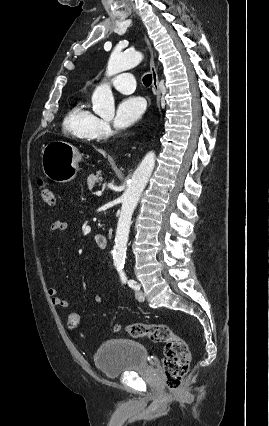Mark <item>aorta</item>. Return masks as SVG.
I'll return each instance as SVG.
<instances>
[{
	"mask_svg": "<svg viewBox=\"0 0 269 426\" xmlns=\"http://www.w3.org/2000/svg\"><path fill=\"white\" fill-rule=\"evenodd\" d=\"M143 59L139 51L125 53L115 50L109 59L106 75L108 77L128 70L138 65ZM93 111L102 118H113L115 103L111 88L108 84L98 86L92 95ZM156 155L148 152L134 171L132 178L122 196L121 213L117 225L113 259L115 265L125 262L127 242L131 226L132 214L139 198L146 187L155 166Z\"/></svg>",
	"mask_w": 269,
	"mask_h": 426,
	"instance_id": "762f6f07",
	"label": "aorta"
}]
</instances>
